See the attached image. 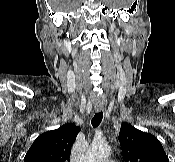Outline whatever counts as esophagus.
I'll return each mask as SVG.
<instances>
[{"label":"esophagus","mask_w":175,"mask_h":162,"mask_svg":"<svg viewBox=\"0 0 175 162\" xmlns=\"http://www.w3.org/2000/svg\"><path fill=\"white\" fill-rule=\"evenodd\" d=\"M102 110V107H95L96 112H100Z\"/></svg>","instance_id":"34e87169"}]
</instances>
